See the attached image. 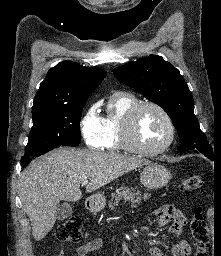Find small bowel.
Wrapping results in <instances>:
<instances>
[{
	"label": "small bowel",
	"instance_id": "c3829d8e",
	"mask_svg": "<svg viewBox=\"0 0 221 256\" xmlns=\"http://www.w3.org/2000/svg\"><path fill=\"white\" fill-rule=\"evenodd\" d=\"M157 224L165 226L170 224L169 231L174 235H179L182 232L183 226L186 224V218L183 213L172 205H164L155 210ZM104 245L101 238H94L86 241L76 249L77 256H86L95 251L100 250ZM151 256H164L160 248L153 246L149 250ZM191 253V246L186 240H180L172 246L173 256H188ZM59 256H63L60 253Z\"/></svg>",
	"mask_w": 221,
	"mask_h": 256
}]
</instances>
